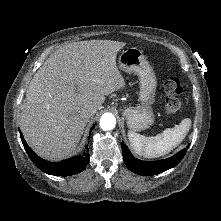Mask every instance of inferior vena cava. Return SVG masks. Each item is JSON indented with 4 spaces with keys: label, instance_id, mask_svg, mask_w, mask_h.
Instances as JSON below:
<instances>
[{
    "label": "inferior vena cava",
    "instance_id": "obj_1",
    "mask_svg": "<svg viewBox=\"0 0 221 221\" xmlns=\"http://www.w3.org/2000/svg\"><path fill=\"white\" fill-rule=\"evenodd\" d=\"M97 111V108L94 105L88 104L85 105L83 108V114L85 117H91L93 116Z\"/></svg>",
    "mask_w": 221,
    "mask_h": 221
}]
</instances>
